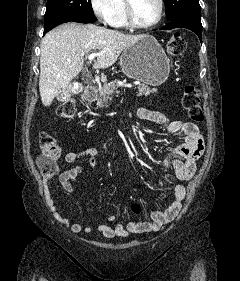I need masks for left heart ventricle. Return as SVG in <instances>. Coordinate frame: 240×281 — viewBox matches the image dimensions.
<instances>
[{
  "label": "left heart ventricle",
  "instance_id": "left-heart-ventricle-1",
  "mask_svg": "<svg viewBox=\"0 0 240 281\" xmlns=\"http://www.w3.org/2000/svg\"><path fill=\"white\" fill-rule=\"evenodd\" d=\"M134 15L138 23L147 24L152 22L158 13L157 0H133Z\"/></svg>",
  "mask_w": 240,
  "mask_h": 281
}]
</instances>
